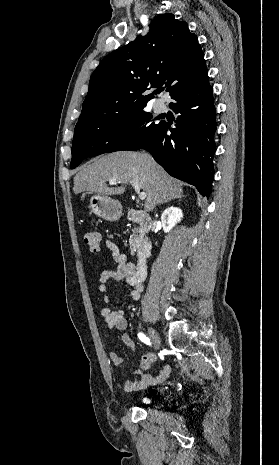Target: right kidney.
I'll return each mask as SVG.
<instances>
[{
    "instance_id": "1",
    "label": "right kidney",
    "mask_w": 279,
    "mask_h": 465,
    "mask_svg": "<svg viewBox=\"0 0 279 465\" xmlns=\"http://www.w3.org/2000/svg\"><path fill=\"white\" fill-rule=\"evenodd\" d=\"M182 210L178 207H169L161 215V223L165 233H169L172 228L181 221Z\"/></svg>"
}]
</instances>
